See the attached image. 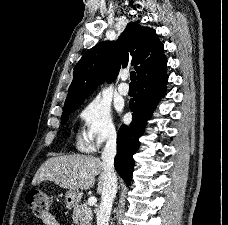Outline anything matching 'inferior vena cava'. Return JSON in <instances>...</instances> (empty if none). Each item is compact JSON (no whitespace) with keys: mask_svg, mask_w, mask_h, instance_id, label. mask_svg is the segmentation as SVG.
Instances as JSON below:
<instances>
[{"mask_svg":"<svg viewBox=\"0 0 228 225\" xmlns=\"http://www.w3.org/2000/svg\"><path fill=\"white\" fill-rule=\"evenodd\" d=\"M116 155V133L112 131L102 153L104 183L101 191V203L96 211V225H109L110 213L117 193V177L114 173Z\"/></svg>","mask_w":228,"mask_h":225,"instance_id":"obj_1","label":"inferior vena cava"}]
</instances>
